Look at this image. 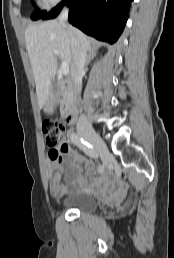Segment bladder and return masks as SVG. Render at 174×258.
Returning <instances> with one entry per match:
<instances>
[{
    "mask_svg": "<svg viewBox=\"0 0 174 258\" xmlns=\"http://www.w3.org/2000/svg\"><path fill=\"white\" fill-rule=\"evenodd\" d=\"M59 205L80 213H95L99 210V201L91 193L77 191L59 200Z\"/></svg>",
    "mask_w": 174,
    "mask_h": 258,
    "instance_id": "1",
    "label": "bladder"
}]
</instances>
